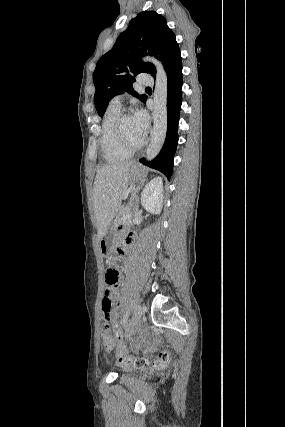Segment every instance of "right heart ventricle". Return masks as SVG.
I'll return each instance as SVG.
<instances>
[{
	"mask_svg": "<svg viewBox=\"0 0 285 427\" xmlns=\"http://www.w3.org/2000/svg\"><path fill=\"white\" fill-rule=\"evenodd\" d=\"M120 107L110 104L104 114L100 135V147L104 158L109 162H122L128 160L133 152L124 149L115 134L114 127Z\"/></svg>",
	"mask_w": 285,
	"mask_h": 427,
	"instance_id": "obj_1",
	"label": "right heart ventricle"
}]
</instances>
